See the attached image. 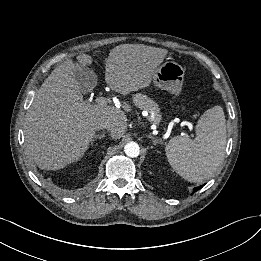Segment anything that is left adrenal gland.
<instances>
[{
	"mask_svg": "<svg viewBox=\"0 0 261 261\" xmlns=\"http://www.w3.org/2000/svg\"><path fill=\"white\" fill-rule=\"evenodd\" d=\"M147 137L152 140V142H153L154 145H157L158 143H159V144H162V140H161V139H157V138H155L154 136H152V135H150V134L147 135Z\"/></svg>",
	"mask_w": 261,
	"mask_h": 261,
	"instance_id": "left-adrenal-gland-1",
	"label": "left adrenal gland"
}]
</instances>
